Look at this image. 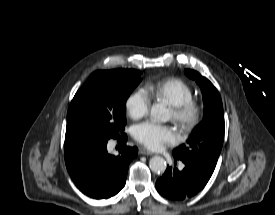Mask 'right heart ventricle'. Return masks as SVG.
Returning a JSON list of instances; mask_svg holds the SVG:
<instances>
[{
    "mask_svg": "<svg viewBox=\"0 0 275 215\" xmlns=\"http://www.w3.org/2000/svg\"><path fill=\"white\" fill-rule=\"evenodd\" d=\"M147 94L156 101H165L171 106L180 105L193 98L191 87L183 80L168 77L147 86Z\"/></svg>",
    "mask_w": 275,
    "mask_h": 215,
    "instance_id": "1",
    "label": "right heart ventricle"
}]
</instances>
